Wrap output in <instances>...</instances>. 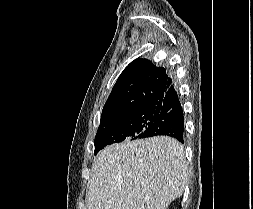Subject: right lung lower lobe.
<instances>
[{
	"instance_id": "right-lung-lower-lobe-1",
	"label": "right lung lower lobe",
	"mask_w": 253,
	"mask_h": 209,
	"mask_svg": "<svg viewBox=\"0 0 253 209\" xmlns=\"http://www.w3.org/2000/svg\"><path fill=\"white\" fill-rule=\"evenodd\" d=\"M153 108L158 112V116L154 123L140 134V138L165 135L184 143V114L173 85Z\"/></svg>"
}]
</instances>
